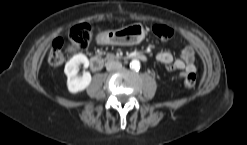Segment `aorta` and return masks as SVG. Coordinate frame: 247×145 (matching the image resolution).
<instances>
[{
	"mask_svg": "<svg viewBox=\"0 0 247 145\" xmlns=\"http://www.w3.org/2000/svg\"><path fill=\"white\" fill-rule=\"evenodd\" d=\"M130 68L133 70H139L140 69V62L136 59L132 60L130 62Z\"/></svg>",
	"mask_w": 247,
	"mask_h": 145,
	"instance_id": "762f6f07",
	"label": "aorta"
}]
</instances>
